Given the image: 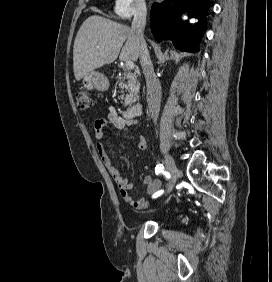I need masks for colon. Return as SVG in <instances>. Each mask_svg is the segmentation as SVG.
<instances>
[{
	"instance_id": "colon-1",
	"label": "colon",
	"mask_w": 272,
	"mask_h": 282,
	"mask_svg": "<svg viewBox=\"0 0 272 282\" xmlns=\"http://www.w3.org/2000/svg\"><path fill=\"white\" fill-rule=\"evenodd\" d=\"M77 106L81 110H88L93 106V99L84 91H80L76 94Z\"/></svg>"
}]
</instances>
